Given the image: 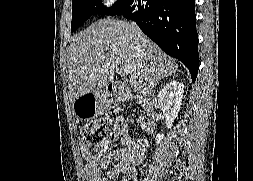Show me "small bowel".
Wrapping results in <instances>:
<instances>
[{
    "label": "small bowel",
    "mask_w": 253,
    "mask_h": 181,
    "mask_svg": "<svg viewBox=\"0 0 253 181\" xmlns=\"http://www.w3.org/2000/svg\"><path fill=\"white\" fill-rule=\"evenodd\" d=\"M120 144V149L105 154L98 162L85 165L84 170L89 181H115L121 175L134 176L136 174V167L145 158L146 141L135 140L132 134L124 133ZM111 159L116 160V164L109 166ZM103 169L106 171L103 172ZM121 181L127 180L123 178Z\"/></svg>",
    "instance_id": "small-bowel-1"
}]
</instances>
